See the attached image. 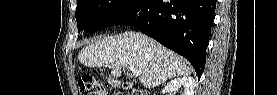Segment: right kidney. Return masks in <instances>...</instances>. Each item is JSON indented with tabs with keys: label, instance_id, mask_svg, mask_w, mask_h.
<instances>
[{
	"label": "right kidney",
	"instance_id": "1",
	"mask_svg": "<svg viewBox=\"0 0 277 95\" xmlns=\"http://www.w3.org/2000/svg\"><path fill=\"white\" fill-rule=\"evenodd\" d=\"M184 87V95H194L195 81L191 77L175 78L171 80L162 90V93L176 92Z\"/></svg>",
	"mask_w": 277,
	"mask_h": 95
}]
</instances>
